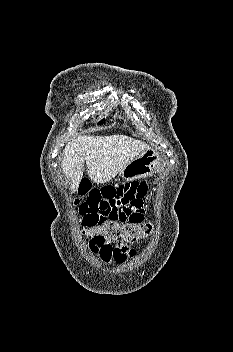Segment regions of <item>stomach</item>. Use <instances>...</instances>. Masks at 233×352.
Instances as JSON below:
<instances>
[{"label":"stomach","mask_w":233,"mask_h":352,"mask_svg":"<svg viewBox=\"0 0 233 352\" xmlns=\"http://www.w3.org/2000/svg\"><path fill=\"white\" fill-rule=\"evenodd\" d=\"M160 166V155L155 149L148 148L129 162L120 171V176L126 181H134L152 175L159 170Z\"/></svg>","instance_id":"0dacf381"}]
</instances>
